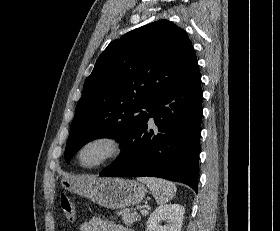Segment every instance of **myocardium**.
Masks as SVG:
<instances>
[{"mask_svg": "<svg viewBox=\"0 0 280 231\" xmlns=\"http://www.w3.org/2000/svg\"><path fill=\"white\" fill-rule=\"evenodd\" d=\"M97 139H108L111 142H113V144L115 145V151L114 153L102 164H100L97 167L94 168H90V169H86L83 168L80 163H79V157L81 154V151L83 150V148L90 142L97 140ZM126 150V143L125 140L123 138V136L121 134H119L118 132L115 131H103V132H99L97 134L92 135L91 137L87 138L78 148L77 152H76V163L78 165V167L80 169H82L83 171L86 172H93V171H97L100 170L106 166H108L109 164L113 163L114 161L118 160L125 152Z\"/></svg>", "mask_w": 280, "mask_h": 231, "instance_id": "myocardium-1", "label": "myocardium"}]
</instances>
